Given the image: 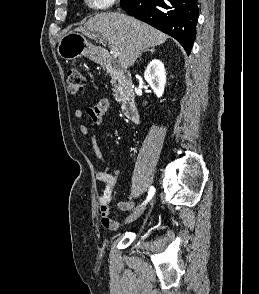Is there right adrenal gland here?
Here are the masks:
<instances>
[{
  "instance_id": "obj_1",
  "label": "right adrenal gland",
  "mask_w": 259,
  "mask_h": 294,
  "mask_svg": "<svg viewBox=\"0 0 259 294\" xmlns=\"http://www.w3.org/2000/svg\"><path fill=\"white\" fill-rule=\"evenodd\" d=\"M145 52H151V54H153V53L155 52V48L153 47V48H151V49H147V50H145V51H142V52L140 53V55H139V58H141L142 54L145 53Z\"/></svg>"
}]
</instances>
